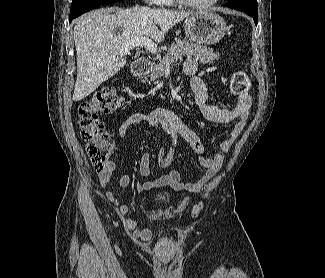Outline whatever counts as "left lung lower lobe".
Returning <instances> with one entry per match:
<instances>
[{"instance_id":"0a47b994","label":"left lung lower lobe","mask_w":325,"mask_h":278,"mask_svg":"<svg viewBox=\"0 0 325 278\" xmlns=\"http://www.w3.org/2000/svg\"><path fill=\"white\" fill-rule=\"evenodd\" d=\"M224 7H229L245 12L254 19L255 24L258 22L257 1L256 0H229Z\"/></svg>"}]
</instances>
